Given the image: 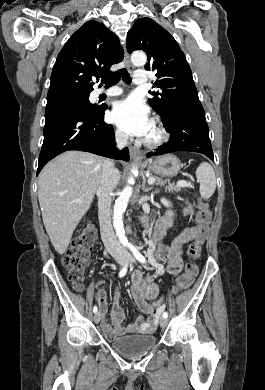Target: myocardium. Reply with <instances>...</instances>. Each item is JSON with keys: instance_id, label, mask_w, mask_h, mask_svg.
<instances>
[{"instance_id": "obj_1", "label": "myocardium", "mask_w": 265, "mask_h": 390, "mask_svg": "<svg viewBox=\"0 0 265 390\" xmlns=\"http://www.w3.org/2000/svg\"><path fill=\"white\" fill-rule=\"evenodd\" d=\"M153 131L154 134L151 137H147L144 141L145 145L150 148L159 147L163 145L168 139V133L161 124L157 122L154 123Z\"/></svg>"}]
</instances>
